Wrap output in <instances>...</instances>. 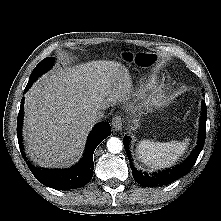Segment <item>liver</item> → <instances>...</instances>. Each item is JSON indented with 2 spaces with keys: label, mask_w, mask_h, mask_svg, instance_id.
Listing matches in <instances>:
<instances>
[{
  "label": "liver",
  "mask_w": 221,
  "mask_h": 221,
  "mask_svg": "<svg viewBox=\"0 0 221 221\" xmlns=\"http://www.w3.org/2000/svg\"><path fill=\"white\" fill-rule=\"evenodd\" d=\"M128 70L115 61H91L42 76L26 93L23 135L42 167H68L83 153L89 117L127 100Z\"/></svg>",
  "instance_id": "liver-1"
}]
</instances>
